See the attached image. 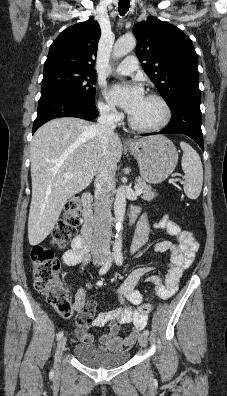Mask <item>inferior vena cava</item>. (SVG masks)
Masks as SVG:
<instances>
[{
    "mask_svg": "<svg viewBox=\"0 0 227 396\" xmlns=\"http://www.w3.org/2000/svg\"><path fill=\"white\" fill-rule=\"evenodd\" d=\"M115 114L110 109H101L95 130L98 134L104 152L109 147V139L115 129ZM116 164L110 159H104L95 178L94 200V233L92 240V254L95 257L110 254L111 240V192L115 183Z\"/></svg>",
    "mask_w": 227,
    "mask_h": 396,
    "instance_id": "obj_1",
    "label": "inferior vena cava"
}]
</instances>
